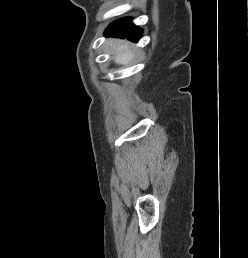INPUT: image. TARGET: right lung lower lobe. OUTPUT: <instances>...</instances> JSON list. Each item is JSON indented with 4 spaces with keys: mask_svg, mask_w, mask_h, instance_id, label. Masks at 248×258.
Returning <instances> with one entry per match:
<instances>
[{
    "mask_svg": "<svg viewBox=\"0 0 248 258\" xmlns=\"http://www.w3.org/2000/svg\"><path fill=\"white\" fill-rule=\"evenodd\" d=\"M105 36L127 38L137 42L142 36V30L131 23L130 18H123L110 24L105 30Z\"/></svg>",
    "mask_w": 248,
    "mask_h": 258,
    "instance_id": "1",
    "label": "right lung lower lobe"
}]
</instances>
